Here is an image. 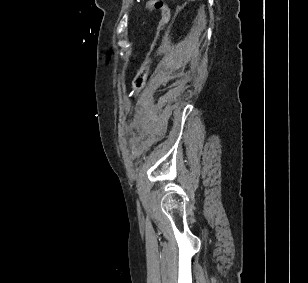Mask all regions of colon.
<instances>
[{
	"instance_id": "obj_1",
	"label": "colon",
	"mask_w": 308,
	"mask_h": 283,
	"mask_svg": "<svg viewBox=\"0 0 308 283\" xmlns=\"http://www.w3.org/2000/svg\"><path fill=\"white\" fill-rule=\"evenodd\" d=\"M143 11H156L159 13L160 19L158 37H160L170 20V10L168 6L163 0H148V2L143 7ZM156 43L157 40L154 42L153 47L156 45ZM150 63L151 59L147 58L141 65L140 69L137 71L132 82L133 94H138L143 89L149 74Z\"/></svg>"
}]
</instances>
